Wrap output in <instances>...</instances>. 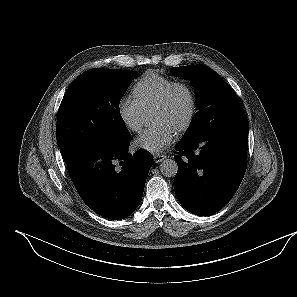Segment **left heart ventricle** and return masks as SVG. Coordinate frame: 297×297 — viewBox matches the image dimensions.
Masks as SVG:
<instances>
[{
    "mask_svg": "<svg viewBox=\"0 0 297 297\" xmlns=\"http://www.w3.org/2000/svg\"><path fill=\"white\" fill-rule=\"evenodd\" d=\"M189 108V102L186 92L178 89L167 108L155 109L151 112L153 124L165 123L175 131L185 119Z\"/></svg>",
    "mask_w": 297,
    "mask_h": 297,
    "instance_id": "left-heart-ventricle-1",
    "label": "left heart ventricle"
}]
</instances>
